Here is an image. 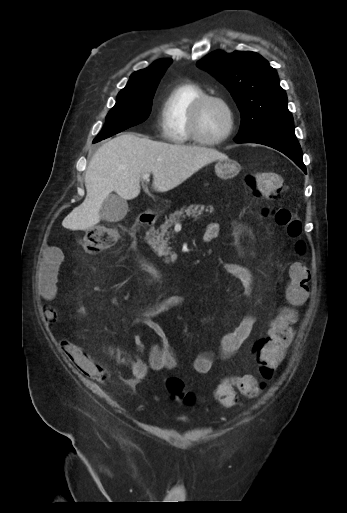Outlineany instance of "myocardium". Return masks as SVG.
Wrapping results in <instances>:
<instances>
[{
    "label": "myocardium",
    "mask_w": 347,
    "mask_h": 513,
    "mask_svg": "<svg viewBox=\"0 0 347 513\" xmlns=\"http://www.w3.org/2000/svg\"><path fill=\"white\" fill-rule=\"evenodd\" d=\"M211 101L218 102L225 108V110L228 114V120H229L228 127H227L225 133L222 136L215 138V139H208V138L203 137L199 130V121H200L202 109L206 103L211 102ZM235 125H236V116H235L234 109H233L232 105L230 104V102L226 98L219 96V95H214V94L205 93V94L201 95L192 105L190 112H189V116H188V130H189L191 139L194 142H196L200 145H204V146H216V145H219V144L225 142L234 132Z\"/></svg>",
    "instance_id": "myocardium-1"
}]
</instances>
